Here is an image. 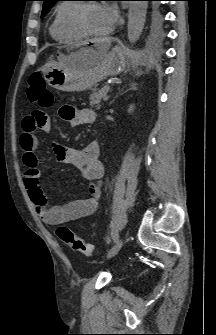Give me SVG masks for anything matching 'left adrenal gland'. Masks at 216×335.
<instances>
[{
	"mask_svg": "<svg viewBox=\"0 0 216 335\" xmlns=\"http://www.w3.org/2000/svg\"><path fill=\"white\" fill-rule=\"evenodd\" d=\"M136 86H137L136 83L129 84V88L127 89V91L136 90L137 89Z\"/></svg>",
	"mask_w": 216,
	"mask_h": 335,
	"instance_id": "a2214340",
	"label": "left adrenal gland"
}]
</instances>
